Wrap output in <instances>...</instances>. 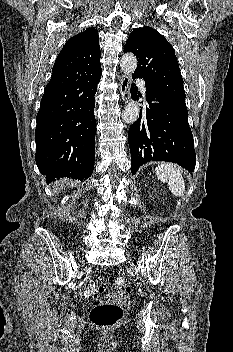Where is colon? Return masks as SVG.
<instances>
[{"mask_svg":"<svg viewBox=\"0 0 233 352\" xmlns=\"http://www.w3.org/2000/svg\"><path fill=\"white\" fill-rule=\"evenodd\" d=\"M100 281V277L94 276L88 278L85 282V295L93 300L89 311V318L98 327L110 328L121 320L123 309L117 304L104 301L100 298V295L103 293V288L99 285ZM115 286L124 289L127 293L130 292V287L124 278H117Z\"/></svg>","mask_w":233,"mask_h":352,"instance_id":"5ec220e1","label":"colon"}]
</instances>
